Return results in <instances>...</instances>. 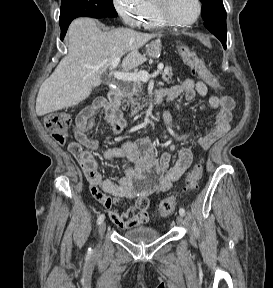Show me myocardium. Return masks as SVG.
Masks as SVG:
<instances>
[{"mask_svg": "<svg viewBox=\"0 0 273 288\" xmlns=\"http://www.w3.org/2000/svg\"><path fill=\"white\" fill-rule=\"evenodd\" d=\"M153 1H154V6H155L156 13L159 19L164 24L172 26V27H176V28H185V27H189L193 25L199 20L201 13H202V2L201 0H196L197 13L195 17L186 22H178L172 19L171 16L169 15V12H168L169 0H153Z\"/></svg>", "mask_w": 273, "mask_h": 288, "instance_id": "f54148a6", "label": "myocardium"}]
</instances>
